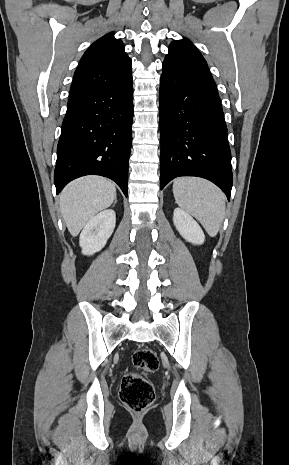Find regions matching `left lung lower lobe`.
Instances as JSON below:
<instances>
[{
    "label": "left lung lower lobe",
    "mask_w": 289,
    "mask_h": 465,
    "mask_svg": "<svg viewBox=\"0 0 289 465\" xmlns=\"http://www.w3.org/2000/svg\"><path fill=\"white\" fill-rule=\"evenodd\" d=\"M161 189L179 176L206 178L230 200L231 151L213 78L162 73L160 80Z\"/></svg>",
    "instance_id": "left-lung-lower-lobe-1"
}]
</instances>
